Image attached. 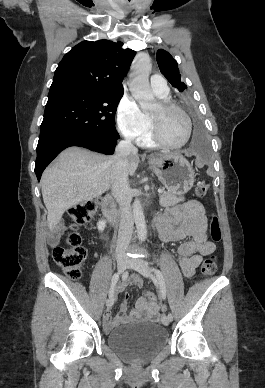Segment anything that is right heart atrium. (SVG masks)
Masks as SVG:
<instances>
[{
	"label": "right heart atrium",
	"instance_id": "obj_1",
	"mask_svg": "<svg viewBox=\"0 0 265 388\" xmlns=\"http://www.w3.org/2000/svg\"><path fill=\"white\" fill-rule=\"evenodd\" d=\"M118 119L125 135L132 139H142L151 128V119L136 101L125 96L118 107Z\"/></svg>",
	"mask_w": 265,
	"mask_h": 388
}]
</instances>
